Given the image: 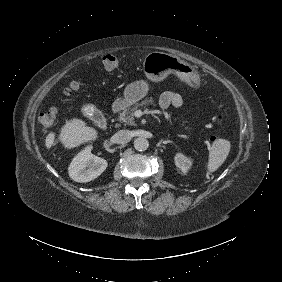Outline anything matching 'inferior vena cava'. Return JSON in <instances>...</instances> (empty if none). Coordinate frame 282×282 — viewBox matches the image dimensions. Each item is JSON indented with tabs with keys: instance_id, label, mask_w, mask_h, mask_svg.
I'll return each mask as SVG.
<instances>
[{
	"instance_id": "obj_1",
	"label": "inferior vena cava",
	"mask_w": 282,
	"mask_h": 282,
	"mask_svg": "<svg viewBox=\"0 0 282 282\" xmlns=\"http://www.w3.org/2000/svg\"><path fill=\"white\" fill-rule=\"evenodd\" d=\"M131 138L129 130H120L114 135V140L118 144H127Z\"/></svg>"
}]
</instances>
